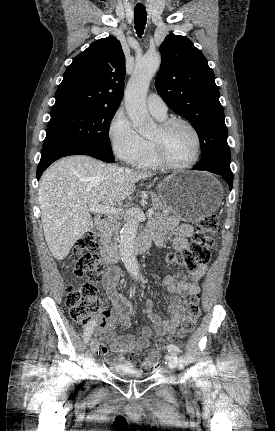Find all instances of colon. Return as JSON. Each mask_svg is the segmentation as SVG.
I'll use <instances>...</instances> for the list:
<instances>
[{
    "mask_svg": "<svg viewBox=\"0 0 275 431\" xmlns=\"http://www.w3.org/2000/svg\"><path fill=\"white\" fill-rule=\"evenodd\" d=\"M219 227L217 215L211 214L202 218L197 223V232L190 246L182 251L170 252L167 261L189 271L205 264L211 257V250L216 248L213 236L218 233ZM97 247L93 233H87L77 240L73 252V273L77 277H85L87 281L80 287H67L65 304L75 322L85 324L95 321L97 327L102 328L106 322V309L97 295V284L103 280L106 264L96 252ZM200 313V295L193 294L181 327L171 340L191 333ZM166 344L164 339L157 340L155 349L147 350L142 356L136 355L134 363L145 372L154 371L159 365V351L165 348Z\"/></svg>",
    "mask_w": 275,
    "mask_h": 431,
    "instance_id": "obj_1",
    "label": "colon"
}]
</instances>
